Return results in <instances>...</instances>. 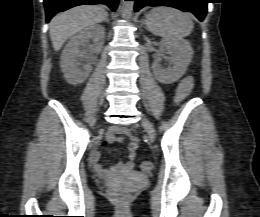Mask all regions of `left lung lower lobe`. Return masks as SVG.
Masks as SVG:
<instances>
[{"mask_svg": "<svg viewBox=\"0 0 260 217\" xmlns=\"http://www.w3.org/2000/svg\"><path fill=\"white\" fill-rule=\"evenodd\" d=\"M135 11L145 6H169L185 12H192L200 21L206 16L209 0H133Z\"/></svg>", "mask_w": 260, "mask_h": 217, "instance_id": "0a47b994", "label": "left lung lower lobe"}]
</instances>
